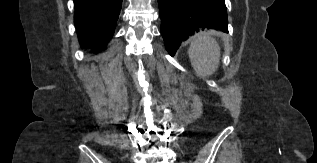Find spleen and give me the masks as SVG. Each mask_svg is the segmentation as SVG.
Here are the masks:
<instances>
[{"mask_svg": "<svg viewBox=\"0 0 317 163\" xmlns=\"http://www.w3.org/2000/svg\"><path fill=\"white\" fill-rule=\"evenodd\" d=\"M191 64L200 77L212 75L218 68L220 47L209 33L196 34L188 50Z\"/></svg>", "mask_w": 317, "mask_h": 163, "instance_id": "3e777b00", "label": "spleen"}]
</instances>
